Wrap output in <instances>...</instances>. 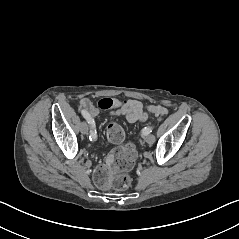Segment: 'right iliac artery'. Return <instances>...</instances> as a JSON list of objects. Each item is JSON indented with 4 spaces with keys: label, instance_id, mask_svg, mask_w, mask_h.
<instances>
[{
    "label": "right iliac artery",
    "instance_id": "obj_1",
    "mask_svg": "<svg viewBox=\"0 0 239 239\" xmlns=\"http://www.w3.org/2000/svg\"><path fill=\"white\" fill-rule=\"evenodd\" d=\"M81 114L83 115V117L88 121L89 124H91V130H90V136H89V139L92 141H95L97 139V132H96V129L94 128L93 126V123H92V120L89 116V114L82 110L81 111Z\"/></svg>",
    "mask_w": 239,
    "mask_h": 239
}]
</instances>
